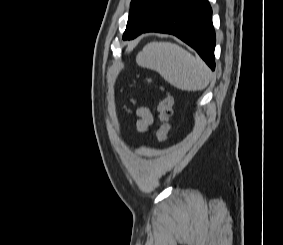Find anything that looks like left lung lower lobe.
Returning <instances> with one entry per match:
<instances>
[{
  "mask_svg": "<svg viewBox=\"0 0 283 245\" xmlns=\"http://www.w3.org/2000/svg\"><path fill=\"white\" fill-rule=\"evenodd\" d=\"M144 32L177 36L194 48L212 70L215 69V31L208 0H173Z\"/></svg>",
  "mask_w": 283,
  "mask_h": 245,
  "instance_id": "left-lung-lower-lobe-1",
  "label": "left lung lower lobe"
}]
</instances>
